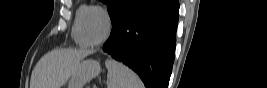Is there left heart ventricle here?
Returning <instances> with one entry per match:
<instances>
[{"label": "left heart ventricle", "instance_id": "b2bd125f", "mask_svg": "<svg viewBox=\"0 0 267 88\" xmlns=\"http://www.w3.org/2000/svg\"><path fill=\"white\" fill-rule=\"evenodd\" d=\"M106 22L104 17L96 12H90L84 22L86 38L91 42L99 41L105 34Z\"/></svg>", "mask_w": 267, "mask_h": 88}]
</instances>
